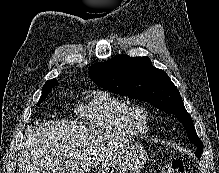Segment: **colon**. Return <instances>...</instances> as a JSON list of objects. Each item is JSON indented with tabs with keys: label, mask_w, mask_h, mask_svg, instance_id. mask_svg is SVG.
I'll list each match as a JSON object with an SVG mask.
<instances>
[{
	"label": "colon",
	"mask_w": 219,
	"mask_h": 173,
	"mask_svg": "<svg viewBox=\"0 0 219 173\" xmlns=\"http://www.w3.org/2000/svg\"><path fill=\"white\" fill-rule=\"evenodd\" d=\"M167 173H188V166L182 158L170 159L166 166Z\"/></svg>",
	"instance_id": "colon-1"
}]
</instances>
